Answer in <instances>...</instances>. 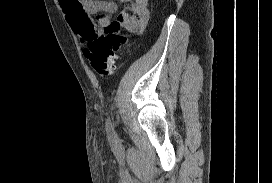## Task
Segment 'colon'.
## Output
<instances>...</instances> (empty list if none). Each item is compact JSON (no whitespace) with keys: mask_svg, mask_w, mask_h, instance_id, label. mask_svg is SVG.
I'll list each match as a JSON object with an SVG mask.
<instances>
[{"mask_svg":"<svg viewBox=\"0 0 272 183\" xmlns=\"http://www.w3.org/2000/svg\"><path fill=\"white\" fill-rule=\"evenodd\" d=\"M111 25H120L116 22ZM115 32L113 36L111 33ZM127 44V37L121 30H110V34H103L88 42L85 56L92 68L100 76L113 75L117 70L119 50Z\"/></svg>","mask_w":272,"mask_h":183,"instance_id":"1","label":"colon"}]
</instances>
